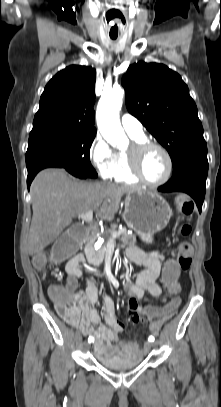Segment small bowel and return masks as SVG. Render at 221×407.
Returning a JSON list of instances; mask_svg holds the SVG:
<instances>
[{
  "label": "small bowel",
  "mask_w": 221,
  "mask_h": 407,
  "mask_svg": "<svg viewBox=\"0 0 221 407\" xmlns=\"http://www.w3.org/2000/svg\"><path fill=\"white\" fill-rule=\"evenodd\" d=\"M127 255L136 265L143 267L136 282L127 281L124 283V289L128 294V312L132 321L138 323L140 321L137 320V315L142 313V305L138 301L143 298L145 293H149L153 297H160L164 293L159 278L162 279V269L166 257L160 251H143L136 247H130ZM84 263L85 256L82 253L74 255L67 261L66 270L69 275L67 286L75 290L77 301L68 314L61 316L69 325L77 328L84 335L92 337L94 339V349L99 354L124 356L130 359L142 355L143 351L146 350V346L141 349L137 343H126L118 339V334L124 330V325L117 319L115 304L108 295L104 296L105 325L99 326L100 316L94 307L99 303V286L97 282L93 278H88L85 280L84 289L78 290V283L82 277L81 265ZM180 290V284L170 286L167 291L171 296L170 299L174 295H178ZM161 302L164 304L166 301L163 299ZM173 314L171 313L170 317ZM154 319L156 320L150 324L152 333L157 332L162 323L168 318Z\"/></svg>",
  "instance_id": "c3829d8e"
}]
</instances>
